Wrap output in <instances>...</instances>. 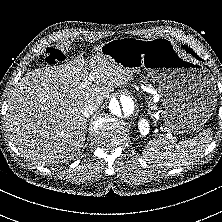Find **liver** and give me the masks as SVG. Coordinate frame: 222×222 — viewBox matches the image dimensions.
I'll return each instance as SVG.
<instances>
[{"label":"liver","mask_w":222,"mask_h":222,"mask_svg":"<svg viewBox=\"0 0 222 222\" xmlns=\"http://www.w3.org/2000/svg\"><path fill=\"white\" fill-rule=\"evenodd\" d=\"M100 47L89 62L80 54L66 64L33 70L12 90L6 124L24 157L41 166L74 159L85 141V103L100 105L132 80V71L103 57Z\"/></svg>","instance_id":"liver-1"}]
</instances>
